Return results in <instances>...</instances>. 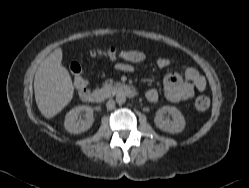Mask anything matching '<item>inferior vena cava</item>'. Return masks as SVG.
Here are the masks:
<instances>
[{"label": "inferior vena cava", "instance_id": "1", "mask_svg": "<svg viewBox=\"0 0 249 188\" xmlns=\"http://www.w3.org/2000/svg\"><path fill=\"white\" fill-rule=\"evenodd\" d=\"M106 107L108 110H112L115 107V101L112 99H109L106 103Z\"/></svg>", "mask_w": 249, "mask_h": 188}]
</instances>
